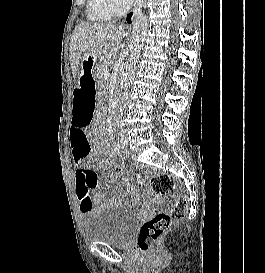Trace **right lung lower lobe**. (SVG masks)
Masks as SVG:
<instances>
[{
  "label": "right lung lower lobe",
  "instance_id": "right-lung-lower-lobe-1",
  "mask_svg": "<svg viewBox=\"0 0 265 273\" xmlns=\"http://www.w3.org/2000/svg\"><path fill=\"white\" fill-rule=\"evenodd\" d=\"M131 16H132V13H130L129 15H127V22L128 23H131Z\"/></svg>",
  "mask_w": 265,
  "mask_h": 273
}]
</instances>
